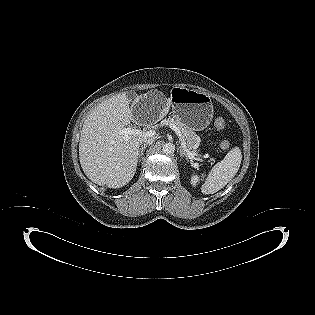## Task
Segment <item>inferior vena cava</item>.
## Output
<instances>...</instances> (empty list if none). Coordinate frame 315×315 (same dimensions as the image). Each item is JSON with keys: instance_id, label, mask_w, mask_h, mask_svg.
Masks as SVG:
<instances>
[{"instance_id": "inferior-vena-cava-1", "label": "inferior vena cava", "mask_w": 315, "mask_h": 315, "mask_svg": "<svg viewBox=\"0 0 315 315\" xmlns=\"http://www.w3.org/2000/svg\"><path fill=\"white\" fill-rule=\"evenodd\" d=\"M154 142V140L152 138H144L142 140H140V144H143V145H151L152 143Z\"/></svg>"}]
</instances>
